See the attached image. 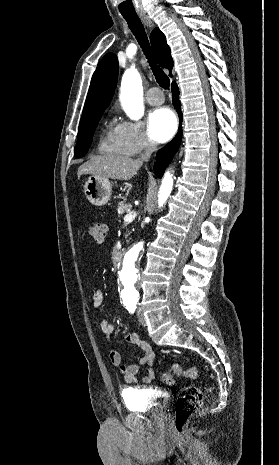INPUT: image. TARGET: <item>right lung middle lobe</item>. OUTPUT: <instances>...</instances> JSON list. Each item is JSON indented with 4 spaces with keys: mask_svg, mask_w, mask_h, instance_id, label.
Returning <instances> with one entry per match:
<instances>
[{
    "mask_svg": "<svg viewBox=\"0 0 279 465\" xmlns=\"http://www.w3.org/2000/svg\"><path fill=\"white\" fill-rule=\"evenodd\" d=\"M103 112L96 116L91 122L86 125L80 126L78 131V139L75 147V157L79 158L85 155L91 145L93 133L101 118Z\"/></svg>",
    "mask_w": 279,
    "mask_h": 465,
    "instance_id": "obj_1",
    "label": "right lung middle lobe"
}]
</instances>
